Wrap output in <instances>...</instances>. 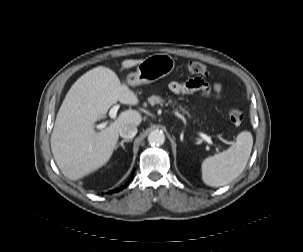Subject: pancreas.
<instances>
[{
    "mask_svg": "<svg viewBox=\"0 0 303 252\" xmlns=\"http://www.w3.org/2000/svg\"><path fill=\"white\" fill-rule=\"evenodd\" d=\"M148 102H149V104L152 105V106H154V105H156V104H159V105L162 106V105L165 103V100L162 99L161 96L152 95V96H150V97L148 98ZM172 103H173L172 100H168V102H167L166 104H172ZM173 105H174V104H173ZM178 107H179L180 111H181L183 114H187V115L190 117L189 112L186 111L181 105H179Z\"/></svg>",
    "mask_w": 303,
    "mask_h": 252,
    "instance_id": "1",
    "label": "pancreas"
}]
</instances>
